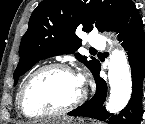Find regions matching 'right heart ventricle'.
Returning <instances> with one entry per match:
<instances>
[{"instance_id": "e07e8e85", "label": "right heart ventricle", "mask_w": 145, "mask_h": 124, "mask_svg": "<svg viewBox=\"0 0 145 124\" xmlns=\"http://www.w3.org/2000/svg\"><path fill=\"white\" fill-rule=\"evenodd\" d=\"M23 84L20 86L18 94H17V104H18V106H19V95H20V91H21V88H22Z\"/></svg>"}]
</instances>
